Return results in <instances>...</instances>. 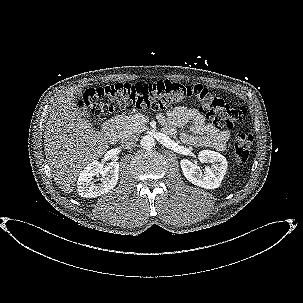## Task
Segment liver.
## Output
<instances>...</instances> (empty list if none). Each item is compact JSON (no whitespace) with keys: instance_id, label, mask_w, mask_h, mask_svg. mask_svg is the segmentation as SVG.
<instances>
[{"instance_id":"1","label":"liver","mask_w":303,"mask_h":303,"mask_svg":"<svg viewBox=\"0 0 303 303\" xmlns=\"http://www.w3.org/2000/svg\"><path fill=\"white\" fill-rule=\"evenodd\" d=\"M75 86L59 95L52 105L45 129V155L59 188L70 194L81 170L109 148L110 135L95 131L75 108L82 94Z\"/></svg>"}]
</instances>
